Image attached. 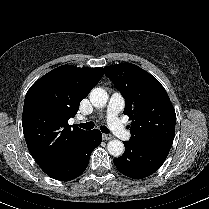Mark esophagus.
I'll use <instances>...</instances> for the list:
<instances>
[{
	"label": "esophagus",
	"mask_w": 209,
	"mask_h": 209,
	"mask_svg": "<svg viewBox=\"0 0 209 209\" xmlns=\"http://www.w3.org/2000/svg\"><path fill=\"white\" fill-rule=\"evenodd\" d=\"M102 137H103L104 140H111V139H113V136L110 135V134H103Z\"/></svg>",
	"instance_id": "34e87169"
}]
</instances>
